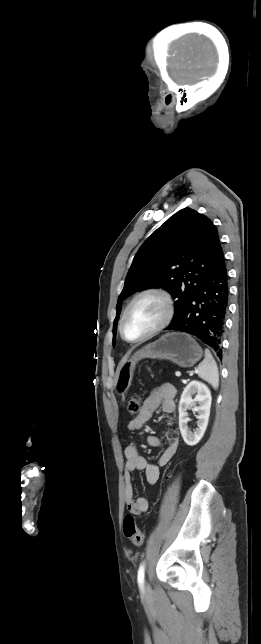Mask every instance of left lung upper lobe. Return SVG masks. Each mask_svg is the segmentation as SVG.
<instances>
[{"label": "left lung upper lobe", "mask_w": 261, "mask_h": 644, "mask_svg": "<svg viewBox=\"0 0 261 644\" xmlns=\"http://www.w3.org/2000/svg\"><path fill=\"white\" fill-rule=\"evenodd\" d=\"M223 254L217 228L210 219L189 208L178 211L145 241L134 257L118 298L117 314L125 297L139 290L162 287L176 299L175 321ZM117 320L118 317L114 326Z\"/></svg>", "instance_id": "obj_1"}]
</instances>
